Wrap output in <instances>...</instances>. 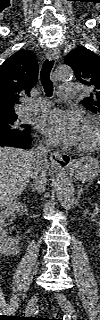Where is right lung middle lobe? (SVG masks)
Here are the masks:
<instances>
[{
  "mask_svg": "<svg viewBox=\"0 0 100 320\" xmlns=\"http://www.w3.org/2000/svg\"><path fill=\"white\" fill-rule=\"evenodd\" d=\"M17 117H9L0 119V136L8 135H24L30 132V127L26 124L16 122Z\"/></svg>",
  "mask_w": 100,
  "mask_h": 320,
  "instance_id": "obj_1",
  "label": "right lung middle lobe"
}]
</instances>
